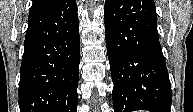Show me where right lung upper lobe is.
<instances>
[{
  "instance_id": "obj_1",
  "label": "right lung upper lobe",
  "mask_w": 193,
  "mask_h": 112,
  "mask_svg": "<svg viewBox=\"0 0 193 112\" xmlns=\"http://www.w3.org/2000/svg\"><path fill=\"white\" fill-rule=\"evenodd\" d=\"M57 1L58 0H33L29 15L45 10Z\"/></svg>"
}]
</instances>
